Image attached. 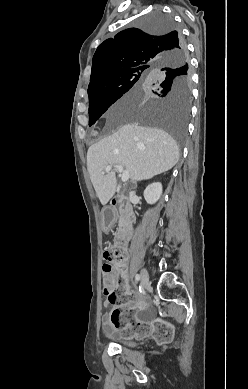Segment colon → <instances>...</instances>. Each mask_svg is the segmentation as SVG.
Masks as SVG:
<instances>
[{
    "label": "colon",
    "instance_id": "1",
    "mask_svg": "<svg viewBox=\"0 0 248 389\" xmlns=\"http://www.w3.org/2000/svg\"><path fill=\"white\" fill-rule=\"evenodd\" d=\"M105 263L103 264V290L107 300L116 305L115 310L112 312L110 320L112 325L120 328L124 337H144L146 331L148 333H157L159 340L157 345L164 347L167 340L172 335V328L169 322H155L154 326H150L149 322H135L133 319L122 321V312H132V317H136V307L127 305V303H134L138 301L137 297L120 295V292H124L125 288L121 287L123 284L124 270L123 265L125 261V251L122 247L115 245L110 247L104 253ZM129 288H133L134 284L129 283Z\"/></svg>",
    "mask_w": 248,
    "mask_h": 389
}]
</instances>
